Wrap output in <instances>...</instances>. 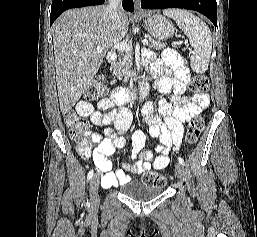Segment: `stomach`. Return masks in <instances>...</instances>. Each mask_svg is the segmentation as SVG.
I'll use <instances>...</instances> for the list:
<instances>
[{"mask_svg":"<svg viewBox=\"0 0 257 237\" xmlns=\"http://www.w3.org/2000/svg\"><path fill=\"white\" fill-rule=\"evenodd\" d=\"M147 31L158 40H167L174 34V25L160 14L145 12L141 15Z\"/></svg>","mask_w":257,"mask_h":237,"instance_id":"1","label":"stomach"}]
</instances>
